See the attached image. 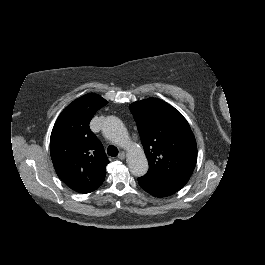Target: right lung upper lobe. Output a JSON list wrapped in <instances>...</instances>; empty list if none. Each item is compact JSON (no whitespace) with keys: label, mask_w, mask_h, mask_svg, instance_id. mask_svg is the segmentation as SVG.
<instances>
[{"label":"right lung upper lobe","mask_w":265,"mask_h":265,"mask_svg":"<svg viewBox=\"0 0 265 265\" xmlns=\"http://www.w3.org/2000/svg\"><path fill=\"white\" fill-rule=\"evenodd\" d=\"M106 104L94 93L74 100L59 115L51 133L50 154L55 171L68 187L79 193L94 191L105 178L109 161L89 123Z\"/></svg>","instance_id":"cb5924a9"}]
</instances>
